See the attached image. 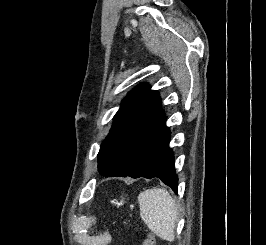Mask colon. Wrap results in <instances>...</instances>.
I'll return each mask as SVG.
<instances>
[{
    "label": "colon",
    "instance_id": "obj_1",
    "mask_svg": "<svg viewBox=\"0 0 266 245\" xmlns=\"http://www.w3.org/2000/svg\"><path fill=\"white\" fill-rule=\"evenodd\" d=\"M143 245H155V241L154 238L151 235H148L144 241H143Z\"/></svg>",
    "mask_w": 266,
    "mask_h": 245
}]
</instances>
